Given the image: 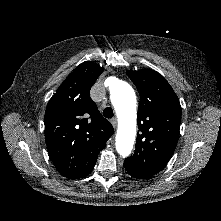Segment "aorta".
I'll list each match as a JSON object with an SVG mask.
<instances>
[{
	"instance_id": "762f6f07",
	"label": "aorta",
	"mask_w": 221,
	"mask_h": 221,
	"mask_svg": "<svg viewBox=\"0 0 221 221\" xmlns=\"http://www.w3.org/2000/svg\"><path fill=\"white\" fill-rule=\"evenodd\" d=\"M111 101L120 117L131 116L129 127H123L118 131L116 149L123 157L128 156L133 148L136 128L133 120L136 109V96L132 87L120 82L111 91Z\"/></svg>"
}]
</instances>
